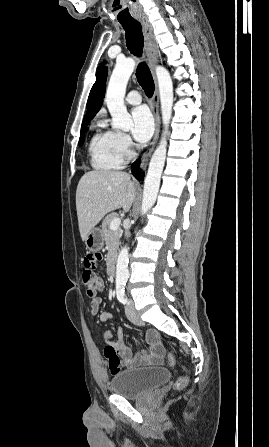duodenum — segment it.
I'll list each match as a JSON object with an SVG mask.
<instances>
[{"label": "duodenum", "mask_w": 269, "mask_h": 447, "mask_svg": "<svg viewBox=\"0 0 269 447\" xmlns=\"http://www.w3.org/2000/svg\"><path fill=\"white\" fill-rule=\"evenodd\" d=\"M108 274L111 278L116 275V257L113 255L108 262Z\"/></svg>", "instance_id": "obj_1"}]
</instances>
